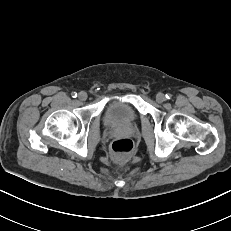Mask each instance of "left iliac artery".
Masks as SVG:
<instances>
[{"label":"left iliac artery","instance_id":"left-iliac-artery-1","mask_svg":"<svg viewBox=\"0 0 231 231\" xmlns=\"http://www.w3.org/2000/svg\"><path fill=\"white\" fill-rule=\"evenodd\" d=\"M166 98H167V99H171V98H172V95H171L170 93H167V94H166Z\"/></svg>","mask_w":231,"mask_h":231}]
</instances>
